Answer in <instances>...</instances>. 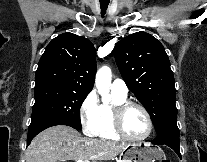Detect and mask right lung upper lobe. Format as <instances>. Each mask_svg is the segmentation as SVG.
Instances as JSON below:
<instances>
[{
    "label": "right lung upper lobe",
    "instance_id": "obj_1",
    "mask_svg": "<svg viewBox=\"0 0 207 162\" xmlns=\"http://www.w3.org/2000/svg\"><path fill=\"white\" fill-rule=\"evenodd\" d=\"M96 73L95 48L88 39L63 33L46 47L35 75V88L61 87L89 93Z\"/></svg>",
    "mask_w": 207,
    "mask_h": 162
}]
</instances>
